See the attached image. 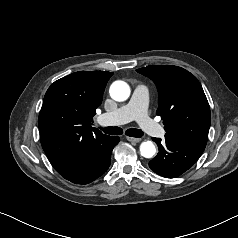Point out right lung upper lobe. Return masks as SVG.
<instances>
[{"label":"right lung upper lobe","mask_w":238,"mask_h":238,"mask_svg":"<svg viewBox=\"0 0 238 238\" xmlns=\"http://www.w3.org/2000/svg\"><path fill=\"white\" fill-rule=\"evenodd\" d=\"M112 75L107 71H79L48 88L38 126L42 148L54 168L71 163L94 140L106 136L90 122Z\"/></svg>","instance_id":"cb5924a9"}]
</instances>
